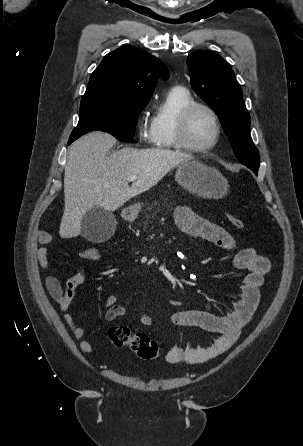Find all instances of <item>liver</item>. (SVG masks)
I'll return each instance as SVG.
<instances>
[{
    "instance_id": "liver-1",
    "label": "liver",
    "mask_w": 303,
    "mask_h": 446,
    "mask_svg": "<svg viewBox=\"0 0 303 446\" xmlns=\"http://www.w3.org/2000/svg\"><path fill=\"white\" fill-rule=\"evenodd\" d=\"M115 143L110 134L96 131L71 145L64 175L61 238L81 233V221L87 211L100 207L113 212L155 186L175 166L192 159L181 152L131 147L106 156ZM133 175L137 180L129 186L127 178Z\"/></svg>"
}]
</instances>
